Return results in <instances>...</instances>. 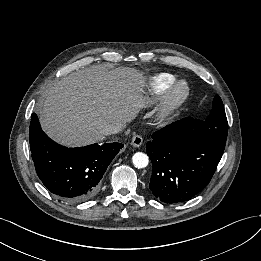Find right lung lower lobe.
<instances>
[{
  "label": "right lung lower lobe",
  "instance_id": "1",
  "mask_svg": "<svg viewBox=\"0 0 261 261\" xmlns=\"http://www.w3.org/2000/svg\"><path fill=\"white\" fill-rule=\"evenodd\" d=\"M29 135L40 180L50 192L69 201H84L94 196L107 167L124 146L107 143L66 148L42 131L36 114H32Z\"/></svg>",
  "mask_w": 261,
  "mask_h": 261
}]
</instances>
